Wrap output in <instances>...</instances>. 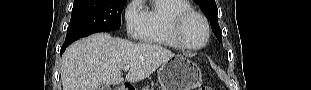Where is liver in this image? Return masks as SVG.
<instances>
[{"label":"liver","mask_w":311,"mask_h":90,"mask_svg":"<svg viewBox=\"0 0 311 90\" xmlns=\"http://www.w3.org/2000/svg\"><path fill=\"white\" fill-rule=\"evenodd\" d=\"M172 57L170 50L159 45L93 34L71 44L63 54V90H98L101 84H121L124 66L130 67L125 81L139 82Z\"/></svg>","instance_id":"liver-1"}]
</instances>
